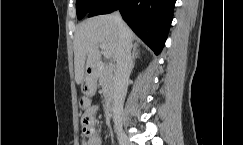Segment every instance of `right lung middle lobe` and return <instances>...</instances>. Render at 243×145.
<instances>
[{
	"label": "right lung middle lobe",
	"mask_w": 243,
	"mask_h": 145,
	"mask_svg": "<svg viewBox=\"0 0 243 145\" xmlns=\"http://www.w3.org/2000/svg\"><path fill=\"white\" fill-rule=\"evenodd\" d=\"M103 0H76L77 18L82 19L87 12L97 7Z\"/></svg>",
	"instance_id": "right-lung-middle-lobe-1"
}]
</instances>
